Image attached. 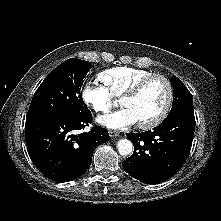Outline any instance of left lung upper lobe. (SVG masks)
<instances>
[{"label": "left lung upper lobe", "instance_id": "1", "mask_svg": "<svg viewBox=\"0 0 221 221\" xmlns=\"http://www.w3.org/2000/svg\"><path fill=\"white\" fill-rule=\"evenodd\" d=\"M173 85L172 108L167 116H194L193 98L184 83L176 76L171 77Z\"/></svg>", "mask_w": 221, "mask_h": 221}]
</instances>
